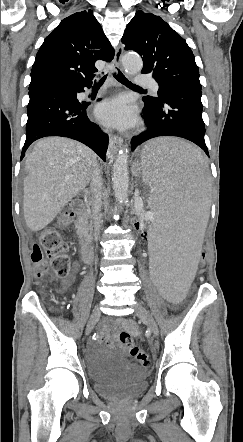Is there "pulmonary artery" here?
I'll return each instance as SVG.
<instances>
[{
	"instance_id": "1",
	"label": "pulmonary artery",
	"mask_w": 243,
	"mask_h": 442,
	"mask_svg": "<svg viewBox=\"0 0 243 442\" xmlns=\"http://www.w3.org/2000/svg\"><path fill=\"white\" fill-rule=\"evenodd\" d=\"M137 84L147 86L149 88V90L154 94L158 93L159 85L155 81L143 78V79H139Z\"/></svg>"
}]
</instances>
